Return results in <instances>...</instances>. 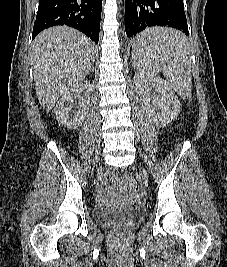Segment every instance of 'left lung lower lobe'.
Returning a JSON list of instances; mask_svg holds the SVG:
<instances>
[{
    "instance_id": "0a47b994",
    "label": "left lung lower lobe",
    "mask_w": 227,
    "mask_h": 267,
    "mask_svg": "<svg viewBox=\"0 0 227 267\" xmlns=\"http://www.w3.org/2000/svg\"><path fill=\"white\" fill-rule=\"evenodd\" d=\"M167 26L180 30L188 35V25L184 12L183 0H126L125 31L127 36L134 38L145 28ZM138 42V36L134 39ZM161 45L171 46L165 41Z\"/></svg>"
}]
</instances>
